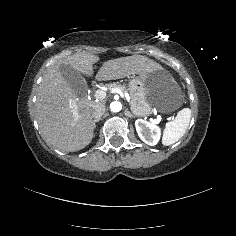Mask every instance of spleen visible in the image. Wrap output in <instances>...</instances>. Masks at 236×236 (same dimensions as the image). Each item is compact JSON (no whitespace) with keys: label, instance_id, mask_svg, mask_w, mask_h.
Here are the masks:
<instances>
[{"label":"spleen","instance_id":"spleen-1","mask_svg":"<svg viewBox=\"0 0 236 236\" xmlns=\"http://www.w3.org/2000/svg\"><path fill=\"white\" fill-rule=\"evenodd\" d=\"M191 115V110L184 108L178 112L173 121L167 123L163 136L164 145H171L177 142L185 134L190 123Z\"/></svg>","mask_w":236,"mask_h":236}]
</instances>
